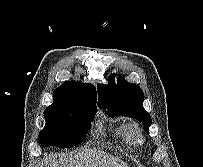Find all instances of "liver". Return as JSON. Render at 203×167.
<instances>
[{
	"label": "liver",
	"instance_id": "liver-1",
	"mask_svg": "<svg viewBox=\"0 0 203 167\" xmlns=\"http://www.w3.org/2000/svg\"><path fill=\"white\" fill-rule=\"evenodd\" d=\"M57 155H50L39 162V167H127L125 163L109 158L103 152L93 150L80 153L74 157H61L59 162Z\"/></svg>",
	"mask_w": 203,
	"mask_h": 167
}]
</instances>
